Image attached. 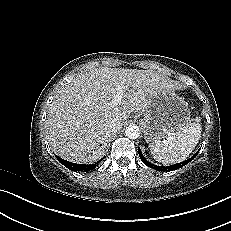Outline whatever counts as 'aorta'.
<instances>
[{
  "label": "aorta",
  "mask_w": 231,
  "mask_h": 231,
  "mask_svg": "<svg viewBox=\"0 0 231 231\" xmlns=\"http://www.w3.org/2000/svg\"><path fill=\"white\" fill-rule=\"evenodd\" d=\"M125 134L130 139H136L139 137L140 130L139 127L136 125H129L126 127Z\"/></svg>",
  "instance_id": "obj_1"
}]
</instances>
